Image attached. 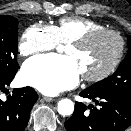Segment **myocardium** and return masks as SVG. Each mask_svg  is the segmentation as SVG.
Here are the masks:
<instances>
[{"label":"myocardium","instance_id":"obj_1","mask_svg":"<svg viewBox=\"0 0 131 131\" xmlns=\"http://www.w3.org/2000/svg\"><path fill=\"white\" fill-rule=\"evenodd\" d=\"M103 34L112 35L118 40V44H119L118 50L116 52V55H115L113 61L105 70H103L102 72L95 74V75L82 74V78L86 81H89V82L102 81V80L106 79L107 77H109L116 70V68L120 64V62L123 58V55H124L125 40H124L123 36L116 30L104 27V28L92 30V31L82 35L81 37L68 43V46L83 47L87 43H89L92 39H94L95 37L103 35Z\"/></svg>","mask_w":131,"mask_h":131}]
</instances>
